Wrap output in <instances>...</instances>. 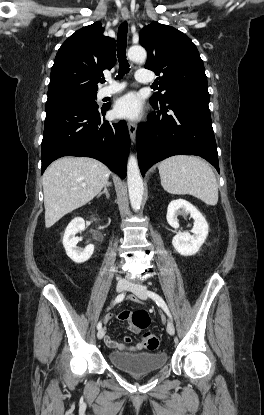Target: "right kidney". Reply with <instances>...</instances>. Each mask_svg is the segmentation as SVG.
Returning a JSON list of instances; mask_svg holds the SVG:
<instances>
[{"instance_id":"obj_1","label":"right kidney","mask_w":264,"mask_h":415,"mask_svg":"<svg viewBox=\"0 0 264 415\" xmlns=\"http://www.w3.org/2000/svg\"><path fill=\"white\" fill-rule=\"evenodd\" d=\"M85 229V221L83 218H74L67 226L64 237L63 246L68 257L75 263H84L90 259L94 252V245L88 244L84 249H79L76 245L80 238L75 235Z\"/></svg>"}]
</instances>
